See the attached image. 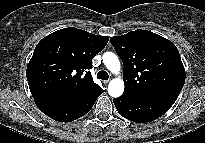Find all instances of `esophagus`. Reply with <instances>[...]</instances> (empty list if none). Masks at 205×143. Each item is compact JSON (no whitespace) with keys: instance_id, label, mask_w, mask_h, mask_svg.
I'll use <instances>...</instances> for the list:
<instances>
[{"instance_id":"34e87169","label":"esophagus","mask_w":205,"mask_h":143,"mask_svg":"<svg viewBox=\"0 0 205 143\" xmlns=\"http://www.w3.org/2000/svg\"><path fill=\"white\" fill-rule=\"evenodd\" d=\"M104 85H108L109 80L103 81Z\"/></svg>"}]
</instances>
